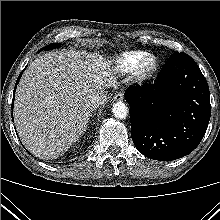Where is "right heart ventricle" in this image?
<instances>
[{
    "label": "right heart ventricle",
    "mask_w": 220,
    "mask_h": 220,
    "mask_svg": "<svg viewBox=\"0 0 220 220\" xmlns=\"http://www.w3.org/2000/svg\"><path fill=\"white\" fill-rule=\"evenodd\" d=\"M148 53L145 51H126L115 59V69L121 73L132 71L138 62Z\"/></svg>",
    "instance_id": "right-heart-ventricle-1"
}]
</instances>
